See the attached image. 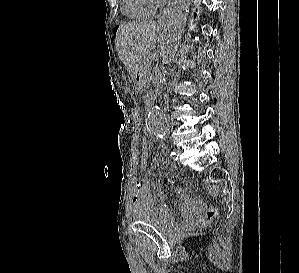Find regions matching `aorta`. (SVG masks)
Returning a JSON list of instances; mask_svg holds the SVG:
<instances>
[{"instance_id":"762f6f07","label":"aorta","mask_w":299,"mask_h":273,"mask_svg":"<svg viewBox=\"0 0 299 273\" xmlns=\"http://www.w3.org/2000/svg\"><path fill=\"white\" fill-rule=\"evenodd\" d=\"M189 6L190 0H174L171 4L162 43L161 75H165L166 65L177 52ZM146 126L149 132L158 136L166 132L165 114L157 103L153 104L148 113Z\"/></svg>"}]
</instances>
